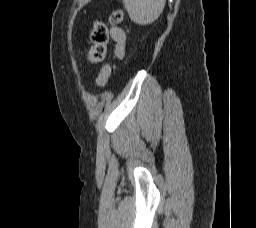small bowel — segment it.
<instances>
[{"instance_id": "obj_1", "label": "small bowel", "mask_w": 256, "mask_h": 228, "mask_svg": "<svg viewBox=\"0 0 256 228\" xmlns=\"http://www.w3.org/2000/svg\"><path fill=\"white\" fill-rule=\"evenodd\" d=\"M112 40L115 42L114 54L117 58L122 59L125 54L126 34L118 26L112 25L109 30Z\"/></svg>"}]
</instances>
